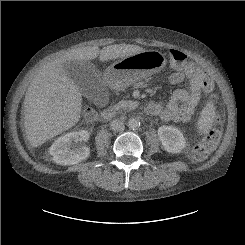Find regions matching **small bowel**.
Segmentation results:
<instances>
[{
  "label": "small bowel",
  "instance_id": "1",
  "mask_svg": "<svg viewBox=\"0 0 245 245\" xmlns=\"http://www.w3.org/2000/svg\"><path fill=\"white\" fill-rule=\"evenodd\" d=\"M203 75L210 77L207 70L196 63L188 62L180 67L171 74L170 82L179 85L187 81L188 88L176 90L165 105L161 102H155L154 108L147 111L151 115H157L164 120L187 122L205 92L199 82L200 77Z\"/></svg>",
  "mask_w": 245,
  "mask_h": 245
}]
</instances>
